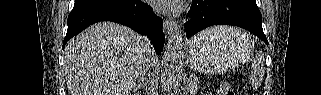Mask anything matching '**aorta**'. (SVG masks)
Returning <instances> with one entry per match:
<instances>
[{"instance_id": "762f6f07", "label": "aorta", "mask_w": 321, "mask_h": 95, "mask_svg": "<svg viewBox=\"0 0 321 95\" xmlns=\"http://www.w3.org/2000/svg\"><path fill=\"white\" fill-rule=\"evenodd\" d=\"M184 32L177 26L168 40L162 58L161 84L165 91H170L177 79L182 56Z\"/></svg>"}]
</instances>
